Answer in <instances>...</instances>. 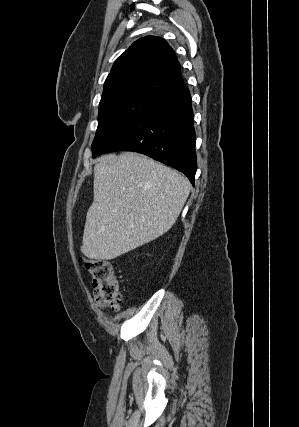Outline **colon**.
<instances>
[{
    "label": "colon",
    "instance_id": "1",
    "mask_svg": "<svg viewBox=\"0 0 299 427\" xmlns=\"http://www.w3.org/2000/svg\"><path fill=\"white\" fill-rule=\"evenodd\" d=\"M80 262L92 278L97 305L118 310L122 304L121 283L112 264L108 260L93 258H80Z\"/></svg>",
    "mask_w": 299,
    "mask_h": 427
}]
</instances>
